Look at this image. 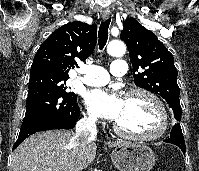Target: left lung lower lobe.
Here are the masks:
<instances>
[{"mask_svg": "<svg viewBox=\"0 0 199 171\" xmlns=\"http://www.w3.org/2000/svg\"><path fill=\"white\" fill-rule=\"evenodd\" d=\"M164 141L177 145L185 154V141L179 123L175 124L174 127L172 128L170 138Z\"/></svg>", "mask_w": 199, "mask_h": 171, "instance_id": "obj_1", "label": "left lung lower lobe"}]
</instances>
